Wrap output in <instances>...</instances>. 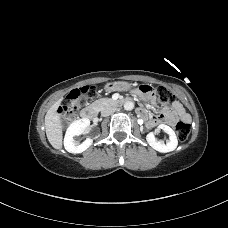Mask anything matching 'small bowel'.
<instances>
[{
	"label": "small bowel",
	"instance_id": "1",
	"mask_svg": "<svg viewBox=\"0 0 228 228\" xmlns=\"http://www.w3.org/2000/svg\"><path fill=\"white\" fill-rule=\"evenodd\" d=\"M143 98L151 102L155 101V98L152 94L145 95L143 96ZM139 112L144 116L148 115L146 109L144 108H140ZM176 119L189 121V115L185 112L183 106L179 102H175L173 104L171 111H166L158 115L151 116L150 123L152 125L159 124V123L173 124Z\"/></svg>",
	"mask_w": 228,
	"mask_h": 228
}]
</instances>
